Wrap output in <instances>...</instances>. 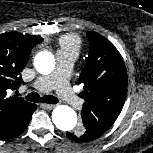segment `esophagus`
Masks as SVG:
<instances>
[{
	"instance_id": "1",
	"label": "esophagus",
	"mask_w": 153,
	"mask_h": 153,
	"mask_svg": "<svg viewBox=\"0 0 153 153\" xmlns=\"http://www.w3.org/2000/svg\"><path fill=\"white\" fill-rule=\"evenodd\" d=\"M41 107L46 108V109H52L55 107L54 104H41Z\"/></svg>"
}]
</instances>
